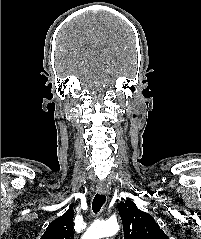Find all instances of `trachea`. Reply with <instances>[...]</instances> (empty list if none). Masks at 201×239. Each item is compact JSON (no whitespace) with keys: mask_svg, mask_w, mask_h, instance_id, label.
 <instances>
[{"mask_svg":"<svg viewBox=\"0 0 201 239\" xmlns=\"http://www.w3.org/2000/svg\"><path fill=\"white\" fill-rule=\"evenodd\" d=\"M106 201V196L104 194H99L97 193L93 199V202H92V210L94 213H98L103 204L105 203Z\"/></svg>","mask_w":201,"mask_h":239,"instance_id":"1","label":"trachea"}]
</instances>
